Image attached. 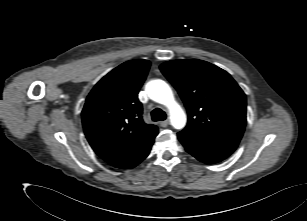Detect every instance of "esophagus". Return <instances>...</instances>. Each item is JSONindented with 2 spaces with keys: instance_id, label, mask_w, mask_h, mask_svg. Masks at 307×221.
I'll use <instances>...</instances> for the list:
<instances>
[{
  "instance_id": "obj_1",
  "label": "esophagus",
  "mask_w": 307,
  "mask_h": 221,
  "mask_svg": "<svg viewBox=\"0 0 307 221\" xmlns=\"http://www.w3.org/2000/svg\"><path fill=\"white\" fill-rule=\"evenodd\" d=\"M159 124H160L161 127H164V128H165V127L168 126L169 120L161 121Z\"/></svg>"
}]
</instances>
